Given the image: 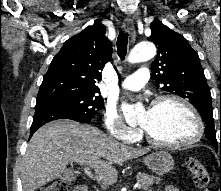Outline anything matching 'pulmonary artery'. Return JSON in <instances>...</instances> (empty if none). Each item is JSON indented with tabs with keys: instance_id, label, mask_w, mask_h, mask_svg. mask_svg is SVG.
<instances>
[{
	"instance_id": "obj_1",
	"label": "pulmonary artery",
	"mask_w": 221,
	"mask_h": 191,
	"mask_svg": "<svg viewBox=\"0 0 221 191\" xmlns=\"http://www.w3.org/2000/svg\"><path fill=\"white\" fill-rule=\"evenodd\" d=\"M149 79V71L147 68L142 67L136 72L127 77L122 83L121 88L128 91H138L145 86Z\"/></svg>"
}]
</instances>
